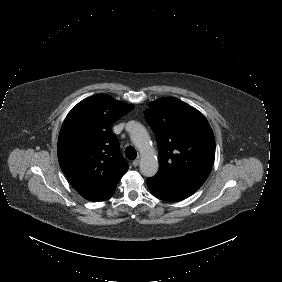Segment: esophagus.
Instances as JSON below:
<instances>
[{
	"instance_id": "1",
	"label": "esophagus",
	"mask_w": 282,
	"mask_h": 282,
	"mask_svg": "<svg viewBox=\"0 0 282 282\" xmlns=\"http://www.w3.org/2000/svg\"><path fill=\"white\" fill-rule=\"evenodd\" d=\"M139 163H140V160L135 159L132 164H133L134 167H137L139 165Z\"/></svg>"
}]
</instances>
